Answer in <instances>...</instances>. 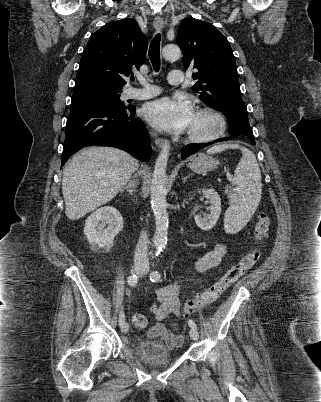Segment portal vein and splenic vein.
Instances as JSON below:
<instances>
[{
	"mask_svg": "<svg viewBox=\"0 0 321 402\" xmlns=\"http://www.w3.org/2000/svg\"><path fill=\"white\" fill-rule=\"evenodd\" d=\"M227 177H228V178H231V175H230V174H227Z\"/></svg>",
	"mask_w": 321,
	"mask_h": 402,
	"instance_id": "1",
	"label": "portal vein and splenic vein"
}]
</instances>
